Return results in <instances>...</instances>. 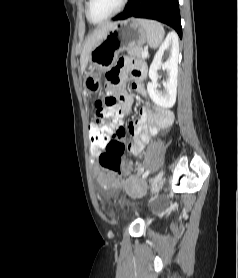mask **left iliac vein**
Here are the masks:
<instances>
[{"label":"left iliac vein","instance_id":"1","mask_svg":"<svg viewBox=\"0 0 238 278\" xmlns=\"http://www.w3.org/2000/svg\"><path fill=\"white\" fill-rule=\"evenodd\" d=\"M163 175H164V171L161 170L159 174L155 177V179L152 182H149V185H151L150 190H158Z\"/></svg>","mask_w":238,"mask_h":278}]
</instances>
